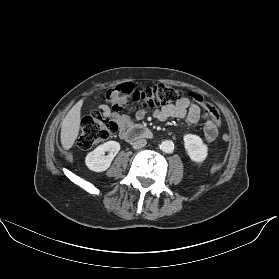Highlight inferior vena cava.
I'll list each match as a JSON object with an SVG mask.
<instances>
[{"label":"inferior vena cava","mask_w":279,"mask_h":279,"mask_svg":"<svg viewBox=\"0 0 279 279\" xmlns=\"http://www.w3.org/2000/svg\"><path fill=\"white\" fill-rule=\"evenodd\" d=\"M146 144H147L146 139H139V140H136V141L133 143V148H134V149H141V148L145 147Z\"/></svg>","instance_id":"602c4592"}]
</instances>
